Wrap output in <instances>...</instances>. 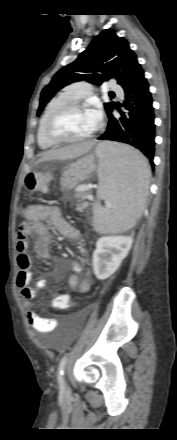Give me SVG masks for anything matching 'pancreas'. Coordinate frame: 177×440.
I'll return each mask as SVG.
<instances>
[{"label": "pancreas", "instance_id": "1", "mask_svg": "<svg viewBox=\"0 0 177 440\" xmlns=\"http://www.w3.org/2000/svg\"><path fill=\"white\" fill-rule=\"evenodd\" d=\"M87 196L88 195L86 193L83 192L78 193V197L81 198L80 202H82L80 205L77 206V210L79 212H82L83 209H85L88 206V203L83 201Z\"/></svg>", "mask_w": 177, "mask_h": 440}]
</instances>
